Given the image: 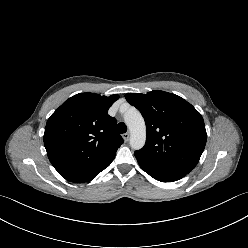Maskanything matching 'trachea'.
<instances>
[{
  "label": "trachea",
  "instance_id": "obj_1",
  "mask_svg": "<svg viewBox=\"0 0 248 248\" xmlns=\"http://www.w3.org/2000/svg\"><path fill=\"white\" fill-rule=\"evenodd\" d=\"M117 131L120 134L126 133V131H127L126 125L123 122L118 123V125H117Z\"/></svg>",
  "mask_w": 248,
  "mask_h": 248
}]
</instances>
